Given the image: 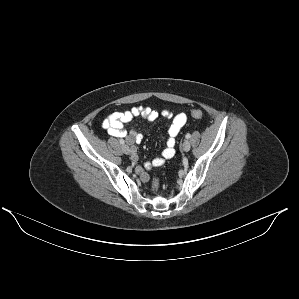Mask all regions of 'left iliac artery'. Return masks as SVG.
<instances>
[{
  "instance_id": "left-iliac-artery-1",
  "label": "left iliac artery",
  "mask_w": 299,
  "mask_h": 299,
  "mask_svg": "<svg viewBox=\"0 0 299 299\" xmlns=\"http://www.w3.org/2000/svg\"><path fill=\"white\" fill-rule=\"evenodd\" d=\"M187 139H189L190 137H191V135L188 133V134H186V136H185Z\"/></svg>"
}]
</instances>
